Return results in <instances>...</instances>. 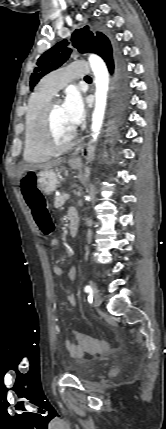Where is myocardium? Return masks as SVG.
Wrapping results in <instances>:
<instances>
[{"mask_svg":"<svg viewBox=\"0 0 166 429\" xmlns=\"http://www.w3.org/2000/svg\"><path fill=\"white\" fill-rule=\"evenodd\" d=\"M61 99L52 98L44 107L40 120V142L42 146L52 154L62 153L71 149L76 140V130L73 129L69 139L65 143H58L54 139L52 131V113Z\"/></svg>","mask_w":166,"mask_h":429,"instance_id":"f54148a6","label":"myocardium"}]
</instances>
